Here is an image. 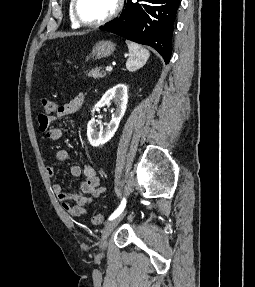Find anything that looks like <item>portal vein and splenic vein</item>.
Instances as JSON below:
<instances>
[{
  "label": "portal vein and splenic vein",
  "instance_id": "portal-vein-and-splenic-vein-1",
  "mask_svg": "<svg viewBox=\"0 0 255 287\" xmlns=\"http://www.w3.org/2000/svg\"><path fill=\"white\" fill-rule=\"evenodd\" d=\"M106 70H107V72H112L113 68H112V66H107Z\"/></svg>",
  "mask_w": 255,
  "mask_h": 287
}]
</instances>
